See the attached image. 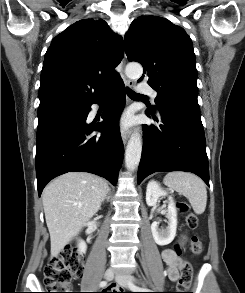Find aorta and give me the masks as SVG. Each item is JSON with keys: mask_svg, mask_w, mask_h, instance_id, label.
<instances>
[{"mask_svg": "<svg viewBox=\"0 0 245 293\" xmlns=\"http://www.w3.org/2000/svg\"><path fill=\"white\" fill-rule=\"evenodd\" d=\"M143 73V68L139 63H129L126 66L125 74L129 78H139ZM142 152V139L140 135L136 132L134 133L125 151V164L127 169L134 170L137 168Z\"/></svg>", "mask_w": 245, "mask_h": 293, "instance_id": "1", "label": "aorta"}]
</instances>
